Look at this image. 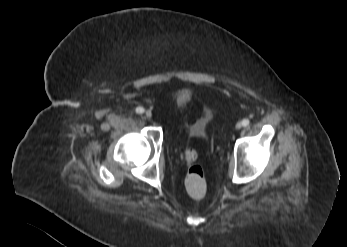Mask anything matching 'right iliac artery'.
<instances>
[{"label": "right iliac artery", "mask_w": 347, "mask_h": 247, "mask_svg": "<svg viewBox=\"0 0 347 247\" xmlns=\"http://www.w3.org/2000/svg\"><path fill=\"white\" fill-rule=\"evenodd\" d=\"M143 112H144V108L143 107H137L136 108V113L142 114Z\"/></svg>", "instance_id": "right-iliac-artery-1"}]
</instances>
